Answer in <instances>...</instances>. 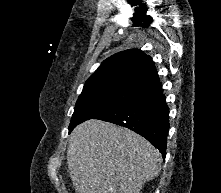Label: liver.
Listing matches in <instances>:
<instances>
[{"mask_svg": "<svg viewBox=\"0 0 221 193\" xmlns=\"http://www.w3.org/2000/svg\"><path fill=\"white\" fill-rule=\"evenodd\" d=\"M160 152L134 131L87 120L71 132L67 164L76 193H140L159 175Z\"/></svg>", "mask_w": 221, "mask_h": 193, "instance_id": "6515ba94", "label": "liver"}]
</instances>
